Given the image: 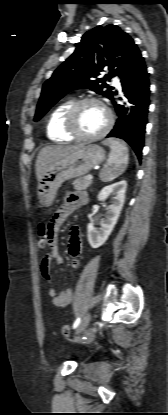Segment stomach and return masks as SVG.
<instances>
[{
	"label": "stomach",
	"instance_id": "obj_1",
	"mask_svg": "<svg viewBox=\"0 0 168 415\" xmlns=\"http://www.w3.org/2000/svg\"><path fill=\"white\" fill-rule=\"evenodd\" d=\"M105 160V151L95 144H82L69 155L53 163L38 184V199L44 207L53 203L57 190L70 179L87 174Z\"/></svg>",
	"mask_w": 168,
	"mask_h": 415
}]
</instances>
